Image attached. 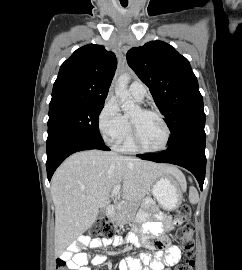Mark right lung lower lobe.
I'll use <instances>...</instances> for the list:
<instances>
[{"instance_id": "98d812e1", "label": "right lung lower lobe", "mask_w": 242, "mask_h": 270, "mask_svg": "<svg viewBox=\"0 0 242 270\" xmlns=\"http://www.w3.org/2000/svg\"><path fill=\"white\" fill-rule=\"evenodd\" d=\"M89 149H99L109 151L110 149L104 142L93 141L86 138H67L54 143L47 148V176L48 180L56 170V168L71 154Z\"/></svg>"}]
</instances>
